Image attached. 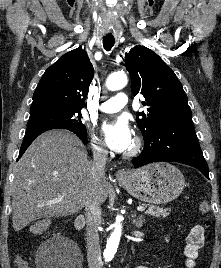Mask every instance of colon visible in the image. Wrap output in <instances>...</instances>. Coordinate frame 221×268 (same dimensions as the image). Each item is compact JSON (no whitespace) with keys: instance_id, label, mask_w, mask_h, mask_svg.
<instances>
[{"instance_id":"1","label":"colon","mask_w":221,"mask_h":268,"mask_svg":"<svg viewBox=\"0 0 221 268\" xmlns=\"http://www.w3.org/2000/svg\"><path fill=\"white\" fill-rule=\"evenodd\" d=\"M199 209L202 213L207 214L210 211V206L208 202L202 201L199 205ZM50 227V221L47 219H41L36 221L30 226V232L32 234H39ZM16 264L18 268H30L23 256H17Z\"/></svg>"}]
</instances>
